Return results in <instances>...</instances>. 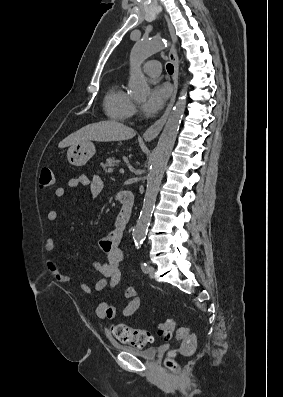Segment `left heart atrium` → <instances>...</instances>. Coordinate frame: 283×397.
<instances>
[{"mask_svg":"<svg viewBox=\"0 0 283 397\" xmlns=\"http://www.w3.org/2000/svg\"><path fill=\"white\" fill-rule=\"evenodd\" d=\"M170 95V88L168 85L161 84L154 86L142 104V110L147 114H154L158 112L165 104Z\"/></svg>","mask_w":283,"mask_h":397,"instance_id":"left-heart-atrium-1","label":"left heart atrium"}]
</instances>
